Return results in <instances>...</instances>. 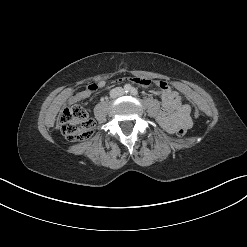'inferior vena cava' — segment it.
Returning a JSON list of instances; mask_svg holds the SVG:
<instances>
[{"label":"inferior vena cava","mask_w":247,"mask_h":247,"mask_svg":"<svg viewBox=\"0 0 247 247\" xmlns=\"http://www.w3.org/2000/svg\"><path fill=\"white\" fill-rule=\"evenodd\" d=\"M124 94V90L122 87H116L110 91V96L112 98H117L119 96H122Z\"/></svg>","instance_id":"obj_1"}]
</instances>
